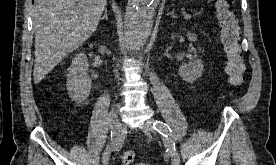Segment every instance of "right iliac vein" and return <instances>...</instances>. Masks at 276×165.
<instances>
[{"label": "right iliac vein", "mask_w": 276, "mask_h": 165, "mask_svg": "<svg viewBox=\"0 0 276 165\" xmlns=\"http://www.w3.org/2000/svg\"><path fill=\"white\" fill-rule=\"evenodd\" d=\"M109 127L113 133L110 144L107 145L103 156H102V165H108L111 153L116 151L120 147L119 140L123 137V128L121 123L118 120V116L115 109H112L108 117Z\"/></svg>", "instance_id": "obj_1"}]
</instances>
